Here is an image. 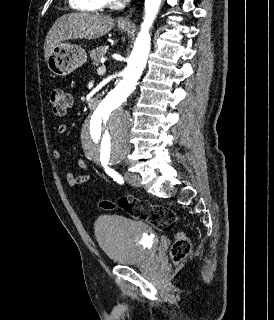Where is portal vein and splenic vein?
Listing matches in <instances>:
<instances>
[{"instance_id":"portal-vein-and-splenic-vein-1","label":"portal vein and splenic vein","mask_w":274,"mask_h":320,"mask_svg":"<svg viewBox=\"0 0 274 320\" xmlns=\"http://www.w3.org/2000/svg\"><path fill=\"white\" fill-rule=\"evenodd\" d=\"M104 70V66H101V68H98V72H102Z\"/></svg>"}]
</instances>
